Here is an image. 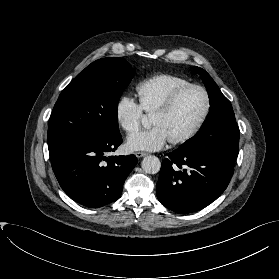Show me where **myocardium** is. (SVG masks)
Instances as JSON below:
<instances>
[{"instance_id":"1","label":"myocardium","mask_w":279,"mask_h":279,"mask_svg":"<svg viewBox=\"0 0 279 279\" xmlns=\"http://www.w3.org/2000/svg\"><path fill=\"white\" fill-rule=\"evenodd\" d=\"M189 89H197L202 92L204 96V107L202 110L201 115L199 116L198 120L195 122V124L192 126V128L185 133L183 136L170 140V143L173 145H180L184 144L188 141H190L202 128L203 124L205 123L211 106L210 101V95L206 88L199 84L194 83H188L185 85H182L175 90H173L169 96L166 98L164 103L159 107L155 112H153L152 116H163L170 112V110L173 108L175 102L177 101L178 97L185 91Z\"/></svg>"}]
</instances>
